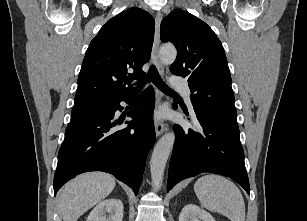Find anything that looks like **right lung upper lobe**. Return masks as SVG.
<instances>
[{"label": "right lung upper lobe", "mask_w": 307, "mask_h": 221, "mask_svg": "<svg viewBox=\"0 0 307 221\" xmlns=\"http://www.w3.org/2000/svg\"><path fill=\"white\" fill-rule=\"evenodd\" d=\"M154 25L148 12L131 8L100 29L86 51L74 106L130 96L132 80L145 74L142 66L150 58Z\"/></svg>", "instance_id": "right-lung-upper-lobe-1"}]
</instances>
